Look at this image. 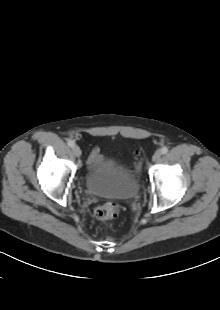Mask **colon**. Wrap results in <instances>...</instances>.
<instances>
[{"label":"colon","instance_id":"1","mask_svg":"<svg viewBox=\"0 0 220 310\" xmlns=\"http://www.w3.org/2000/svg\"><path fill=\"white\" fill-rule=\"evenodd\" d=\"M141 166L140 158L137 159L136 169L139 170ZM119 214V206L114 202H106L100 206H98L94 215L99 220H111L118 216Z\"/></svg>","mask_w":220,"mask_h":310}]
</instances>
